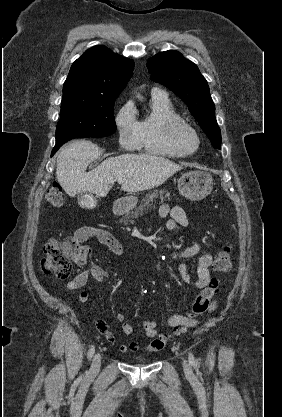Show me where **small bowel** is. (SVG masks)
I'll return each instance as SVG.
<instances>
[{"label":"small bowel","instance_id":"1","mask_svg":"<svg viewBox=\"0 0 282 417\" xmlns=\"http://www.w3.org/2000/svg\"><path fill=\"white\" fill-rule=\"evenodd\" d=\"M158 213L161 218H166L170 216V219H168L166 222V229L172 233H177L181 228L186 227L189 223L185 211L180 206H170L169 204L165 203L160 206ZM71 238L76 242H84L89 239H96L101 244L106 246L115 256L122 257L125 253V248L123 244L117 238H115L109 231L100 227L81 226L75 230ZM199 252L200 245L198 243H194L193 245L183 250L168 251L167 257L171 260L181 262L178 265L177 270L182 282L187 284L193 282L196 288L203 289L207 286L211 279L210 267L212 260L215 258L209 253L199 254ZM191 258H195V280H193L189 268L187 264L184 262ZM105 278V274L100 268L92 266L86 269L85 271H82L81 273L77 274L73 279H71L66 284L65 290L67 293L81 290L89 280H94L99 284H103L105 282ZM78 299L80 303L85 304L89 300V295L86 291H81L79 293ZM216 306L217 302L214 301L210 307V311H214L216 309ZM180 318H185V315L173 314L167 318V325L173 329V332L169 334L159 333L157 330L156 321L145 320L142 322L143 334L146 338L152 340H162L164 336H167L170 340L177 333L180 332L175 330V325L178 324V320ZM116 319L119 323H121V328L125 335L131 336L134 334L135 328L131 323L126 321L124 313H117ZM197 323V319L194 322H189V325L187 327H182L181 331L185 330L186 328L193 327ZM95 325L97 330L105 336L108 342H115V336L110 331L109 326L105 321L97 318L95 320ZM140 349L141 344L137 340H130L128 342H124L119 346V351L123 354L134 353L139 351Z\"/></svg>","mask_w":282,"mask_h":417}]
</instances>
